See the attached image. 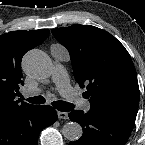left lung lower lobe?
Segmentation results:
<instances>
[{"label":"left lung lower lobe","instance_id":"obj_1","mask_svg":"<svg viewBox=\"0 0 145 145\" xmlns=\"http://www.w3.org/2000/svg\"><path fill=\"white\" fill-rule=\"evenodd\" d=\"M138 108L113 106L93 107L89 112L74 110L72 121L83 128L82 137L69 145H124L134 127Z\"/></svg>","mask_w":145,"mask_h":145}]
</instances>
